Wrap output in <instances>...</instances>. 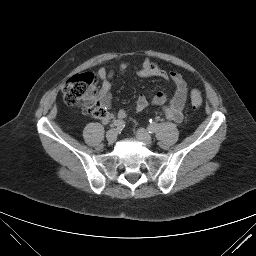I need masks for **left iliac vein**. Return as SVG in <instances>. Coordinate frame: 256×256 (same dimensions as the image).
<instances>
[{
  "mask_svg": "<svg viewBox=\"0 0 256 256\" xmlns=\"http://www.w3.org/2000/svg\"><path fill=\"white\" fill-rule=\"evenodd\" d=\"M136 137L147 146H151L153 144L151 135L143 128L136 131Z\"/></svg>",
  "mask_w": 256,
  "mask_h": 256,
  "instance_id": "1",
  "label": "left iliac vein"
}]
</instances>
